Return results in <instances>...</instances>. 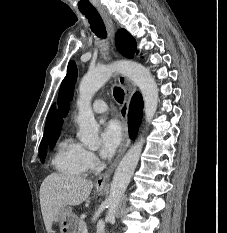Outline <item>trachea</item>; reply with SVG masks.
<instances>
[{
	"mask_svg": "<svg viewBox=\"0 0 227 233\" xmlns=\"http://www.w3.org/2000/svg\"><path fill=\"white\" fill-rule=\"evenodd\" d=\"M83 15L86 16V18L89 20L90 28L92 32L95 33L96 36L99 38H106V28L104 26V23L97 11H87L82 12ZM114 98L117 102L123 103L124 100V91L120 87H115L113 90Z\"/></svg>",
	"mask_w": 227,
	"mask_h": 233,
	"instance_id": "obj_1",
	"label": "trachea"
}]
</instances>
